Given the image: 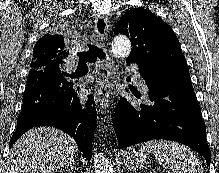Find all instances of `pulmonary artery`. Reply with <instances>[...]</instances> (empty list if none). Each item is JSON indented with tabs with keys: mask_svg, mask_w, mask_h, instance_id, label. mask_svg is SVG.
Masks as SVG:
<instances>
[{
	"mask_svg": "<svg viewBox=\"0 0 219 173\" xmlns=\"http://www.w3.org/2000/svg\"><path fill=\"white\" fill-rule=\"evenodd\" d=\"M133 78H134V81L143 89V90H146V87L144 86V83H143V79L141 77V75L135 70L133 69Z\"/></svg>",
	"mask_w": 219,
	"mask_h": 173,
	"instance_id": "1",
	"label": "pulmonary artery"
}]
</instances>
